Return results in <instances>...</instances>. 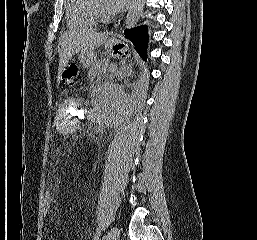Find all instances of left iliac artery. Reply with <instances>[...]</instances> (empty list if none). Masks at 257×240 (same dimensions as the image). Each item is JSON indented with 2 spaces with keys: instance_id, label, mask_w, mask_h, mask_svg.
<instances>
[{
  "instance_id": "obj_1",
  "label": "left iliac artery",
  "mask_w": 257,
  "mask_h": 240,
  "mask_svg": "<svg viewBox=\"0 0 257 240\" xmlns=\"http://www.w3.org/2000/svg\"><path fill=\"white\" fill-rule=\"evenodd\" d=\"M99 236H100V228H97L96 233L94 235V240H99Z\"/></svg>"
}]
</instances>
